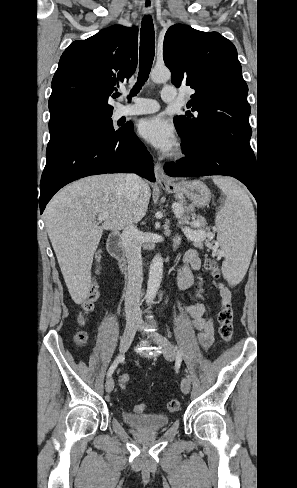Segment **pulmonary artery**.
<instances>
[{
    "label": "pulmonary artery",
    "mask_w": 297,
    "mask_h": 488,
    "mask_svg": "<svg viewBox=\"0 0 297 488\" xmlns=\"http://www.w3.org/2000/svg\"><path fill=\"white\" fill-rule=\"evenodd\" d=\"M176 89L171 86H165L162 89L161 97L164 102H172L176 99ZM131 106H123L118 110V116H134L141 114H150L159 110V104L153 99L132 97Z\"/></svg>",
    "instance_id": "1"
}]
</instances>
